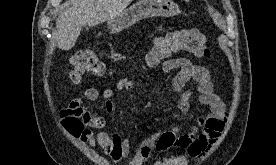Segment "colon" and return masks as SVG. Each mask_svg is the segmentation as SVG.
<instances>
[{
	"label": "colon",
	"mask_w": 276,
	"mask_h": 165,
	"mask_svg": "<svg viewBox=\"0 0 276 165\" xmlns=\"http://www.w3.org/2000/svg\"><path fill=\"white\" fill-rule=\"evenodd\" d=\"M186 51L197 57H208L210 50L204 34L197 29H180L159 36L146 56V64L155 66L173 54ZM70 78L77 83L85 74H103L105 65L92 50H83L71 57ZM71 131L78 135L81 123L77 120H64Z\"/></svg>",
	"instance_id": "1"
}]
</instances>
